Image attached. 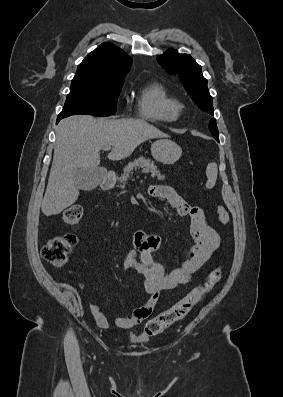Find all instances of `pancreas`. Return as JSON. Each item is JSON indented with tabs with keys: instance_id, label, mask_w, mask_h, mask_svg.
<instances>
[{
	"instance_id": "pancreas-1",
	"label": "pancreas",
	"mask_w": 283,
	"mask_h": 397,
	"mask_svg": "<svg viewBox=\"0 0 283 397\" xmlns=\"http://www.w3.org/2000/svg\"><path fill=\"white\" fill-rule=\"evenodd\" d=\"M142 169L141 172L148 174L151 173L152 177H156L158 180H162L164 177L160 174V171L158 170L157 166L155 163L150 160L146 159L144 157H139L135 159L133 162H130L125 168H124V173L121 175L119 178V187L120 188H125V185L128 184V180L133 174V170H139Z\"/></svg>"
}]
</instances>
